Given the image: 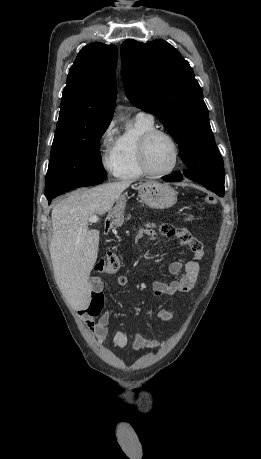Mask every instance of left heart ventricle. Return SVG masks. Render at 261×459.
Here are the masks:
<instances>
[{"mask_svg": "<svg viewBox=\"0 0 261 459\" xmlns=\"http://www.w3.org/2000/svg\"><path fill=\"white\" fill-rule=\"evenodd\" d=\"M148 159L153 171H168L174 163V149L170 140L161 135L155 137L149 146Z\"/></svg>", "mask_w": 261, "mask_h": 459, "instance_id": "b2bd125f", "label": "left heart ventricle"}]
</instances>
